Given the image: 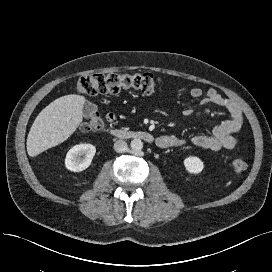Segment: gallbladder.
Wrapping results in <instances>:
<instances>
[{
  "mask_svg": "<svg viewBox=\"0 0 272 272\" xmlns=\"http://www.w3.org/2000/svg\"><path fill=\"white\" fill-rule=\"evenodd\" d=\"M97 105L90 102V101H86L84 103V106H83V115L84 117L86 118H90V117H93L95 112L97 111Z\"/></svg>",
  "mask_w": 272,
  "mask_h": 272,
  "instance_id": "1",
  "label": "gallbladder"
}]
</instances>
